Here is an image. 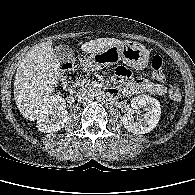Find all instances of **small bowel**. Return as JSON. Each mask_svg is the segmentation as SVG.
Returning <instances> with one entry per match:
<instances>
[{
  "mask_svg": "<svg viewBox=\"0 0 195 195\" xmlns=\"http://www.w3.org/2000/svg\"><path fill=\"white\" fill-rule=\"evenodd\" d=\"M116 74L121 79L120 89L127 96L142 92H149L155 95H163L166 93V86L163 81L135 78L132 76V73L123 66L116 69ZM115 89L118 92L116 87Z\"/></svg>",
  "mask_w": 195,
  "mask_h": 195,
  "instance_id": "small-bowel-1",
  "label": "small bowel"
}]
</instances>
